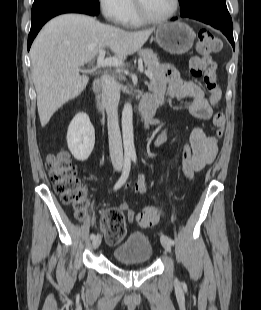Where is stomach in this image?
Listing matches in <instances>:
<instances>
[{
	"label": "stomach",
	"mask_w": 261,
	"mask_h": 310,
	"mask_svg": "<svg viewBox=\"0 0 261 310\" xmlns=\"http://www.w3.org/2000/svg\"><path fill=\"white\" fill-rule=\"evenodd\" d=\"M155 40L158 45L171 54H184L194 43L193 29L182 22L166 23L157 28Z\"/></svg>",
	"instance_id": "obj_1"
}]
</instances>
